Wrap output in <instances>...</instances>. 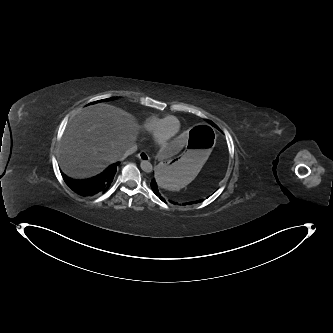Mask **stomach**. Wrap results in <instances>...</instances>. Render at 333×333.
Masks as SVG:
<instances>
[{"mask_svg": "<svg viewBox=\"0 0 333 333\" xmlns=\"http://www.w3.org/2000/svg\"><path fill=\"white\" fill-rule=\"evenodd\" d=\"M216 144L214 128L197 124L192 129L189 147L176 160L157 162L151 168L155 185L164 191L179 190L194 180Z\"/></svg>", "mask_w": 333, "mask_h": 333, "instance_id": "1", "label": "stomach"}]
</instances>
